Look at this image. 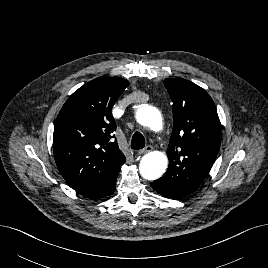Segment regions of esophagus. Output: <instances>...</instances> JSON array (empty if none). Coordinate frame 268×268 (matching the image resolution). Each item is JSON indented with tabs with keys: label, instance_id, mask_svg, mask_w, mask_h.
<instances>
[{
	"label": "esophagus",
	"instance_id": "1",
	"mask_svg": "<svg viewBox=\"0 0 268 268\" xmlns=\"http://www.w3.org/2000/svg\"><path fill=\"white\" fill-rule=\"evenodd\" d=\"M152 149H153V147H152L151 145H148V146H146L144 149L140 150V151L138 152V154H139V155L146 154V153L152 151Z\"/></svg>",
	"mask_w": 268,
	"mask_h": 268
}]
</instances>
